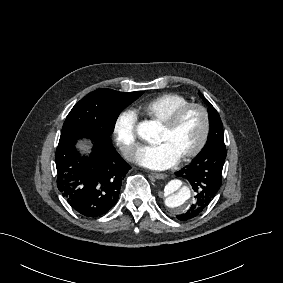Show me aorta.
Returning <instances> with one entry per match:
<instances>
[{"label":"aorta","mask_w":283,"mask_h":283,"mask_svg":"<svg viewBox=\"0 0 283 283\" xmlns=\"http://www.w3.org/2000/svg\"><path fill=\"white\" fill-rule=\"evenodd\" d=\"M137 133L142 139L153 142L158 138L159 126L154 121H144L138 125ZM162 198L167 208L180 213L187 211L193 201L190 186L180 179L170 180L165 185Z\"/></svg>","instance_id":"1"}]
</instances>
